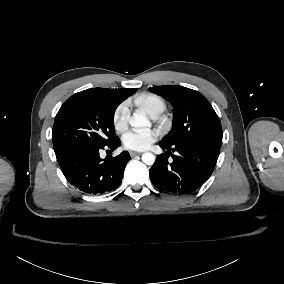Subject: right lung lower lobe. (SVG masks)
I'll use <instances>...</instances> for the list:
<instances>
[{
    "mask_svg": "<svg viewBox=\"0 0 284 284\" xmlns=\"http://www.w3.org/2000/svg\"><path fill=\"white\" fill-rule=\"evenodd\" d=\"M121 144L117 137L104 146H78L56 154L60 168L70 184L87 194H104L121 184L127 162L131 159L124 151L116 157L101 159V149H116Z\"/></svg>",
    "mask_w": 284,
    "mask_h": 284,
    "instance_id": "right-lung-lower-lobe-1",
    "label": "right lung lower lobe"
}]
</instances>
